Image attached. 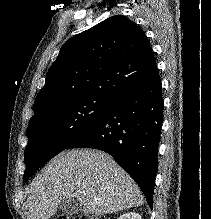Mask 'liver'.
<instances>
[{"mask_svg": "<svg viewBox=\"0 0 211 219\" xmlns=\"http://www.w3.org/2000/svg\"><path fill=\"white\" fill-rule=\"evenodd\" d=\"M86 214H110L143 204L134 180L108 154L92 149L55 156L28 189L29 219H49L65 199Z\"/></svg>", "mask_w": 211, "mask_h": 219, "instance_id": "obj_1", "label": "liver"}]
</instances>
